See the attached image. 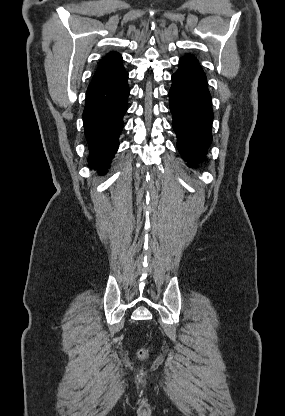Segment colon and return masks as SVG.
<instances>
[{
    "label": "colon",
    "mask_w": 285,
    "mask_h": 416,
    "mask_svg": "<svg viewBox=\"0 0 285 416\" xmlns=\"http://www.w3.org/2000/svg\"><path fill=\"white\" fill-rule=\"evenodd\" d=\"M138 356H139V357H141V358H142V357H144V356H145V352L141 350V351L138 353Z\"/></svg>",
    "instance_id": "5ec220e1"
}]
</instances>
